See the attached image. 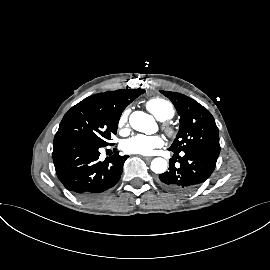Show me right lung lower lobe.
<instances>
[{
	"mask_svg": "<svg viewBox=\"0 0 270 270\" xmlns=\"http://www.w3.org/2000/svg\"><path fill=\"white\" fill-rule=\"evenodd\" d=\"M75 137L54 139L53 162L64 187L83 199H91L112 188L120 179L128 156L115 154L99 161V149Z\"/></svg>",
	"mask_w": 270,
	"mask_h": 270,
	"instance_id": "1",
	"label": "right lung lower lobe"
}]
</instances>
